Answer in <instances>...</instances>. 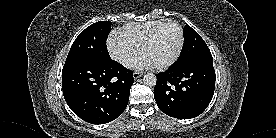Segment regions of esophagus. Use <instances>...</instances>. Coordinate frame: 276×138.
<instances>
[{"mask_svg":"<svg viewBox=\"0 0 276 138\" xmlns=\"http://www.w3.org/2000/svg\"><path fill=\"white\" fill-rule=\"evenodd\" d=\"M142 76V73L141 72H134L133 73V77H134V79H138L139 77H141Z\"/></svg>","mask_w":276,"mask_h":138,"instance_id":"1","label":"esophagus"}]
</instances>
